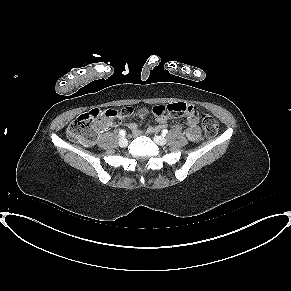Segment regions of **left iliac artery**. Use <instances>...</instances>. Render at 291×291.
Instances as JSON below:
<instances>
[{"mask_svg": "<svg viewBox=\"0 0 291 291\" xmlns=\"http://www.w3.org/2000/svg\"><path fill=\"white\" fill-rule=\"evenodd\" d=\"M168 133V130L167 129H164L163 131H162V135H166Z\"/></svg>", "mask_w": 291, "mask_h": 291, "instance_id": "44dca946", "label": "left iliac artery"}]
</instances>
